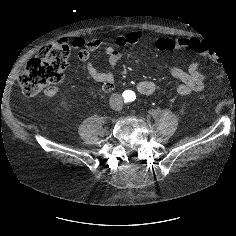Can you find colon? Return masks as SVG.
<instances>
[{
    "mask_svg": "<svg viewBox=\"0 0 236 236\" xmlns=\"http://www.w3.org/2000/svg\"><path fill=\"white\" fill-rule=\"evenodd\" d=\"M160 50H171L174 43L170 39L157 41ZM191 50L200 53L202 58L217 61L222 60L220 47L205 44L203 41L194 40L190 45ZM71 48L66 42H52L45 45L39 52V56L32 58L24 71L18 77V85L26 96H34L44 88L58 84L62 81L67 67Z\"/></svg>",
    "mask_w": 236,
    "mask_h": 236,
    "instance_id": "obj_1",
    "label": "colon"
}]
</instances>
